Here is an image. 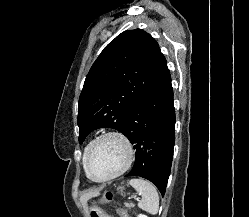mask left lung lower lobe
Segmentation results:
<instances>
[{"mask_svg":"<svg viewBox=\"0 0 249 217\" xmlns=\"http://www.w3.org/2000/svg\"><path fill=\"white\" fill-rule=\"evenodd\" d=\"M174 131L173 90L166 65L130 111L124 132L136 150L134 166L126 176L148 179L162 196L171 170Z\"/></svg>","mask_w":249,"mask_h":217,"instance_id":"left-lung-lower-lobe-1","label":"left lung lower lobe"}]
</instances>
